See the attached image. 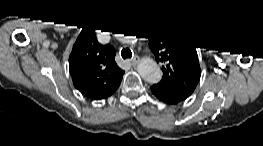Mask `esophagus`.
<instances>
[{
	"mask_svg": "<svg viewBox=\"0 0 263 146\" xmlns=\"http://www.w3.org/2000/svg\"><path fill=\"white\" fill-rule=\"evenodd\" d=\"M139 60H140L139 57L135 56L133 59H131V64L133 66H136L138 64Z\"/></svg>",
	"mask_w": 263,
	"mask_h": 146,
	"instance_id": "esophagus-1",
	"label": "esophagus"
}]
</instances>
